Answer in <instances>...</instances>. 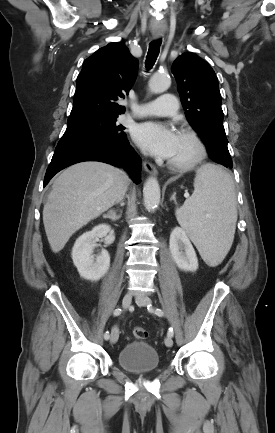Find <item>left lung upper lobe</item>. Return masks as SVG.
<instances>
[{
  "mask_svg": "<svg viewBox=\"0 0 275 433\" xmlns=\"http://www.w3.org/2000/svg\"><path fill=\"white\" fill-rule=\"evenodd\" d=\"M186 117L205 143L209 156L232 165L223 126L218 79L210 65L194 53H184L172 65Z\"/></svg>",
  "mask_w": 275,
  "mask_h": 433,
  "instance_id": "5c2ea615",
  "label": "left lung upper lobe"
}]
</instances>
